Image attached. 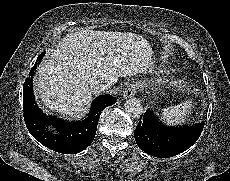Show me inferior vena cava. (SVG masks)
Returning <instances> with one entry per match:
<instances>
[{
	"instance_id": "602c4592",
	"label": "inferior vena cava",
	"mask_w": 230,
	"mask_h": 181,
	"mask_svg": "<svg viewBox=\"0 0 230 181\" xmlns=\"http://www.w3.org/2000/svg\"><path fill=\"white\" fill-rule=\"evenodd\" d=\"M115 79H103V80H98L95 81L91 85V92L94 95H99L102 92H107L110 90L112 84L115 82Z\"/></svg>"
}]
</instances>
